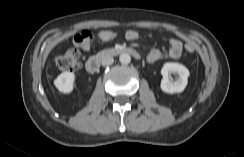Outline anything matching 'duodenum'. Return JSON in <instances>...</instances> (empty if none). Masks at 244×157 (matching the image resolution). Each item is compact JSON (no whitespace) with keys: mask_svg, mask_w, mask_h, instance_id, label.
Segmentation results:
<instances>
[{"mask_svg":"<svg viewBox=\"0 0 244 157\" xmlns=\"http://www.w3.org/2000/svg\"><path fill=\"white\" fill-rule=\"evenodd\" d=\"M121 54H130L135 58L140 57L139 53L133 48H128V47L111 48L90 57L86 62V70L90 73H94L99 69L101 61L105 57L118 56Z\"/></svg>","mask_w":244,"mask_h":157,"instance_id":"410a0bca","label":"duodenum"}]
</instances>
